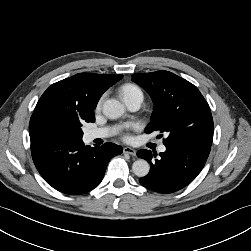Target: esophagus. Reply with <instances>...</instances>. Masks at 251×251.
<instances>
[{
  "label": "esophagus",
  "mask_w": 251,
  "mask_h": 251,
  "mask_svg": "<svg viewBox=\"0 0 251 251\" xmlns=\"http://www.w3.org/2000/svg\"><path fill=\"white\" fill-rule=\"evenodd\" d=\"M123 152L126 153V154H130L132 156H134L136 154L135 149H133L131 147H124Z\"/></svg>",
  "instance_id": "esophagus-1"
}]
</instances>
